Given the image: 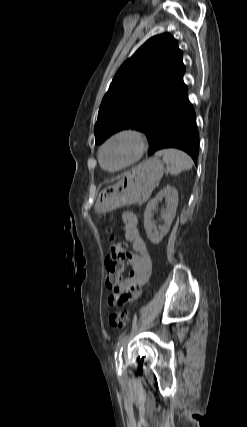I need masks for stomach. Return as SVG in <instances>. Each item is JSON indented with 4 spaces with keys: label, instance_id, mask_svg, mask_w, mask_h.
I'll list each match as a JSON object with an SVG mask.
<instances>
[{
    "label": "stomach",
    "instance_id": "stomach-1",
    "mask_svg": "<svg viewBox=\"0 0 247 427\" xmlns=\"http://www.w3.org/2000/svg\"><path fill=\"white\" fill-rule=\"evenodd\" d=\"M164 171L162 161L149 158L132 170L121 175L119 181L103 189L94 209L98 214H106L123 206L138 203L143 195L158 182Z\"/></svg>",
    "mask_w": 247,
    "mask_h": 427
}]
</instances>
